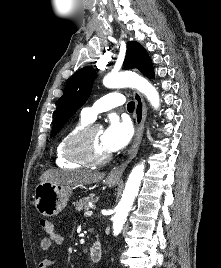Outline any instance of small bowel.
Returning a JSON list of instances; mask_svg holds the SVG:
<instances>
[{
    "instance_id": "small-bowel-1",
    "label": "small bowel",
    "mask_w": 221,
    "mask_h": 268,
    "mask_svg": "<svg viewBox=\"0 0 221 268\" xmlns=\"http://www.w3.org/2000/svg\"><path fill=\"white\" fill-rule=\"evenodd\" d=\"M63 243V237L58 234L54 229L51 232L46 233L39 243V247L42 251L50 250L53 245H61ZM55 265V261L50 258H45L39 263V268H52Z\"/></svg>"
}]
</instances>
